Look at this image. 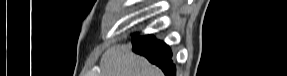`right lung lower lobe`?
I'll list each match as a JSON object with an SVG mask.
<instances>
[{
	"mask_svg": "<svg viewBox=\"0 0 287 76\" xmlns=\"http://www.w3.org/2000/svg\"><path fill=\"white\" fill-rule=\"evenodd\" d=\"M133 51L145 56L151 63L159 66L166 76L175 75V65L171 60V50L162 41L156 40L152 35L135 37L132 39Z\"/></svg>",
	"mask_w": 287,
	"mask_h": 76,
	"instance_id": "1",
	"label": "right lung lower lobe"
}]
</instances>
